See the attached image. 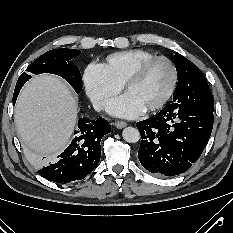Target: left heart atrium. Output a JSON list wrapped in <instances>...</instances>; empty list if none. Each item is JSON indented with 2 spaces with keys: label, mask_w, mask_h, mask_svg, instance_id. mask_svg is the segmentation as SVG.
Wrapping results in <instances>:
<instances>
[{
  "label": "left heart atrium",
  "mask_w": 233,
  "mask_h": 233,
  "mask_svg": "<svg viewBox=\"0 0 233 233\" xmlns=\"http://www.w3.org/2000/svg\"><path fill=\"white\" fill-rule=\"evenodd\" d=\"M144 111L145 108L128 93L112 101L108 106V112L112 115L127 118L136 117Z\"/></svg>",
  "instance_id": "39dd6f15"
}]
</instances>
